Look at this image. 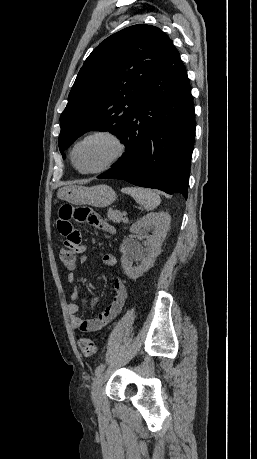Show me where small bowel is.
I'll list each match as a JSON object with an SVG mask.
<instances>
[{"label": "small bowel", "instance_id": "obj_1", "mask_svg": "<svg viewBox=\"0 0 257 459\" xmlns=\"http://www.w3.org/2000/svg\"><path fill=\"white\" fill-rule=\"evenodd\" d=\"M80 226H89L90 229H101L108 233H114V228L106 221L100 218L98 208H92L91 205H60L56 228L60 236H64L63 245L67 251H74L75 257H79V263L87 261L89 250L83 245V237L80 234ZM103 262L107 267L116 266V258L113 255H105ZM67 282L73 285L70 292L71 302L68 304V313L71 324L74 329L80 332H96L101 330L111 321H113L122 311L128 291L120 278H115L113 286L115 296L112 302L93 319H86L85 313L81 311L80 306L76 303L79 298V290L76 287L77 276L74 272H69ZM97 298H90V306L94 308Z\"/></svg>", "mask_w": 257, "mask_h": 459}]
</instances>
